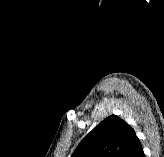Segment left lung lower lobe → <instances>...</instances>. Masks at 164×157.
Listing matches in <instances>:
<instances>
[{
  "label": "left lung lower lobe",
  "mask_w": 164,
  "mask_h": 157,
  "mask_svg": "<svg viewBox=\"0 0 164 157\" xmlns=\"http://www.w3.org/2000/svg\"><path fill=\"white\" fill-rule=\"evenodd\" d=\"M124 157H145L142 145L137 136L130 144Z\"/></svg>",
  "instance_id": "obj_1"
}]
</instances>
